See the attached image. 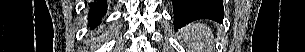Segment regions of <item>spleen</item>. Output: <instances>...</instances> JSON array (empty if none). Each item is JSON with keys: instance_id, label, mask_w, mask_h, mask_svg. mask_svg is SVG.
<instances>
[{"instance_id": "obj_1", "label": "spleen", "mask_w": 305, "mask_h": 52, "mask_svg": "<svg viewBox=\"0 0 305 52\" xmlns=\"http://www.w3.org/2000/svg\"><path fill=\"white\" fill-rule=\"evenodd\" d=\"M181 33L191 52H213V33L207 25L193 22L186 25Z\"/></svg>"}]
</instances>
